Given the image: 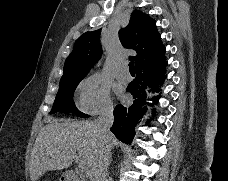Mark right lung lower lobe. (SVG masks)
<instances>
[{
	"instance_id": "obj_1",
	"label": "right lung lower lobe",
	"mask_w": 228,
	"mask_h": 181,
	"mask_svg": "<svg viewBox=\"0 0 228 181\" xmlns=\"http://www.w3.org/2000/svg\"><path fill=\"white\" fill-rule=\"evenodd\" d=\"M165 47L136 66L137 77L127 87L134 98L131 106L117 105L114 110V123L111 131L122 142L130 144L135 135V126L147 110L146 100L158 99L159 85L166 76Z\"/></svg>"
}]
</instances>
